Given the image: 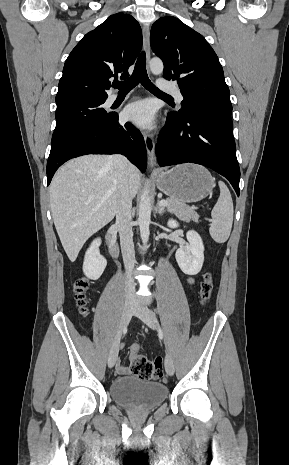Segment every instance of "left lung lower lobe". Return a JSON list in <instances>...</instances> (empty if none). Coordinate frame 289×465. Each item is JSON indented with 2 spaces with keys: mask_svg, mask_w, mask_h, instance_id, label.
Masks as SVG:
<instances>
[{
  "mask_svg": "<svg viewBox=\"0 0 289 465\" xmlns=\"http://www.w3.org/2000/svg\"><path fill=\"white\" fill-rule=\"evenodd\" d=\"M161 167L196 163L226 177L239 196L240 169L236 158L231 116L190 110L170 112L156 144Z\"/></svg>",
  "mask_w": 289,
  "mask_h": 465,
  "instance_id": "obj_1",
  "label": "left lung lower lobe"
}]
</instances>
